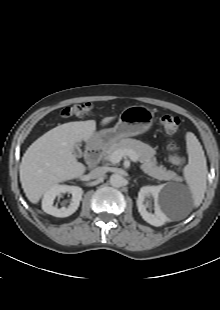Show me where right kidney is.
Here are the masks:
<instances>
[{
    "instance_id": "obj_1",
    "label": "right kidney",
    "mask_w": 220,
    "mask_h": 310,
    "mask_svg": "<svg viewBox=\"0 0 220 310\" xmlns=\"http://www.w3.org/2000/svg\"><path fill=\"white\" fill-rule=\"evenodd\" d=\"M65 193L72 194L70 205L67 208L62 207L61 209L53 206L54 199L57 196ZM82 195L83 190L78 186L56 184L44 193L42 199V209L47 214L53 215L55 217H68L78 209Z\"/></svg>"
}]
</instances>
